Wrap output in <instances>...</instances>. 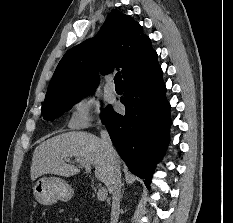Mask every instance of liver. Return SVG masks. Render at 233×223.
<instances>
[{"mask_svg":"<svg viewBox=\"0 0 233 223\" xmlns=\"http://www.w3.org/2000/svg\"><path fill=\"white\" fill-rule=\"evenodd\" d=\"M69 157L92 163L95 169L94 175L98 181H102L106 187L110 185L111 159L102 147L101 137L87 131H67L42 141L34 149L30 167L31 179H36L45 173H54L62 177L76 175L80 169L74 165V161L66 163ZM118 163H120L119 157Z\"/></svg>","mask_w":233,"mask_h":223,"instance_id":"1","label":"liver"}]
</instances>
